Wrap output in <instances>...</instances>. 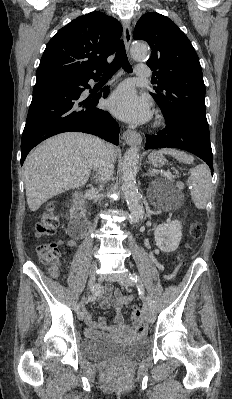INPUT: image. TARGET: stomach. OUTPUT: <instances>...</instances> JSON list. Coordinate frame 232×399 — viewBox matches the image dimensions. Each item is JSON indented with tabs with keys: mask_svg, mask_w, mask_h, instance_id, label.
<instances>
[{
	"mask_svg": "<svg viewBox=\"0 0 232 399\" xmlns=\"http://www.w3.org/2000/svg\"><path fill=\"white\" fill-rule=\"evenodd\" d=\"M149 162L152 166H155V168H162L166 160L162 154H159V152H152L149 156Z\"/></svg>",
	"mask_w": 232,
	"mask_h": 399,
	"instance_id": "0dacf381",
	"label": "stomach"
}]
</instances>
